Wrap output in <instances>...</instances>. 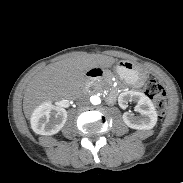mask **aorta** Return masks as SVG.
<instances>
[{"label": "aorta", "instance_id": "obj_1", "mask_svg": "<svg viewBox=\"0 0 183 183\" xmlns=\"http://www.w3.org/2000/svg\"><path fill=\"white\" fill-rule=\"evenodd\" d=\"M90 102L93 104V105H98L101 103V99L98 95H94V96H91L90 97Z\"/></svg>", "mask_w": 183, "mask_h": 183}]
</instances>
